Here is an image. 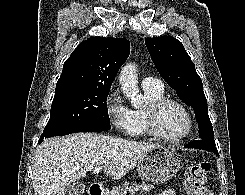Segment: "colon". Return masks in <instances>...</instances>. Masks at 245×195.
Listing matches in <instances>:
<instances>
[{
    "instance_id": "obj_1",
    "label": "colon",
    "mask_w": 245,
    "mask_h": 195,
    "mask_svg": "<svg viewBox=\"0 0 245 195\" xmlns=\"http://www.w3.org/2000/svg\"><path fill=\"white\" fill-rule=\"evenodd\" d=\"M211 171L207 161L191 165L185 174L184 189L187 195H213L206 183Z\"/></svg>"
}]
</instances>
